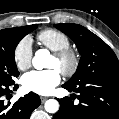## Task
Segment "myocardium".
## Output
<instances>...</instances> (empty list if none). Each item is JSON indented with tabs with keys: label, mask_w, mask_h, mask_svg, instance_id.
Instances as JSON below:
<instances>
[{
	"label": "myocardium",
	"mask_w": 119,
	"mask_h": 119,
	"mask_svg": "<svg viewBox=\"0 0 119 119\" xmlns=\"http://www.w3.org/2000/svg\"><path fill=\"white\" fill-rule=\"evenodd\" d=\"M53 56L61 62L62 66L60 68V72L64 76L69 77L76 72L79 66V56L73 48L66 47L53 51Z\"/></svg>",
	"instance_id": "f54148a6"
}]
</instances>
